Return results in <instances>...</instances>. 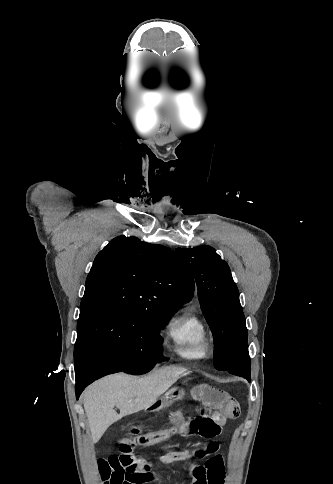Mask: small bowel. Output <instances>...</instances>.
<instances>
[{
  "instance_id": "small-bowel-1",
  "label": "small bowel",
  "mask_w": 333,
  "mask_h": 484,
  "mask_svg": "<svg viewBox=\"0 0 333 484\" xmlns=\"http://www.w3.org/2000/svg\"><path fill=\"white\" fill-rule=\"evenodd\" d=\"M191 396L201 403L192 417H185L175 409L170 414L171 426H180L183 436H200L207 442L203 447L181 453H169L161 458V464L173 461L193 464L190 484H223L225 465L219 453L218 443L214 440L222 431L227 419L235 418L239 406L228 393L207 384H198L191 389ZM143 427L131 429L134 438L142 433ZM136 445H120V453L98 461V467L106 484H156L158 481L152 467L134 452ZM206 458L204 465L196 461Z\"/></svg>"
}]
</instances>
